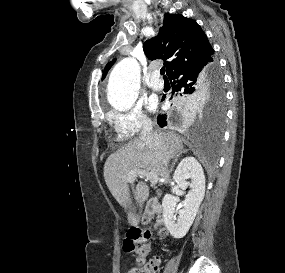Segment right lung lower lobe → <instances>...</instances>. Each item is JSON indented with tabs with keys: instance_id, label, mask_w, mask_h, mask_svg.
<instances>
[{
	"instance_id": "right-lung-lower-lobe-1",
	"label": "right lung lower lobe",
	"mask_w": 285,
	"mask_h": 273,
	"mask_svg": "<svg viewBox=\"0 0 285 273\" xmlns=\"http://www.w3.org/2000/svg\"><path fill=\"white\" fill-rule=\"evenodd\" d=\"M214 64L215 59L211 55L200 58L175 70L169 76V79L172 81V92H180L181 96L194 93L207 82L211 75ZM193 105L194 101L185 104L184 106L188 108ZM157 122L160 127L166 126V115H159Z\"/></svg>"
}]
</instances>
